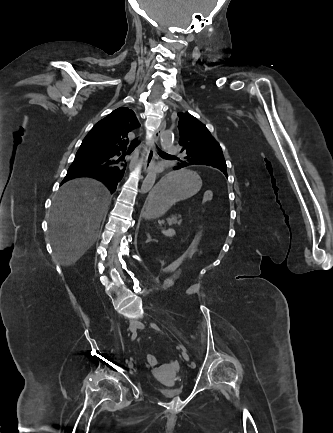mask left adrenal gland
<instances>
[{
  "mask_svg": "<svg viewBox=\"0 0 333 433\" xmlns=\"http://www.w3.org/2000/svg\"><path fill=\"white\" fill-rule=\"evenodd\" d=\"M151 241H154V240L151 238L150 234L147 233V240H146V243H149V242H151Z\"/></svg>",
  "mask_w": 333,
  "mask_h": 433,
  "instance_id": "left-adrenal-gland-1",
  "label": "left adrenal gland"
}]
</instances>
